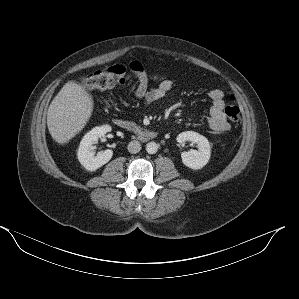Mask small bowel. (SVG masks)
<instances>
[{"mask_svg":"<svg viewBox=\"0 0 299 299\" xmlns=\"http://www.w3.org/2000/svg\"><path fill=\"white\" fill-rule=\"evenodd\" d=\"M130 67L137 78L134 96L142 104L159 101L170 91L172 83L169 80H163L156 86L150 87L147 75L138 61L132 62ZM209 98L211 100L209 127L216 133H224L230 128L223 111L224 93L220 89H213L209 93Z\"/></svg>","mask_w":299,"mask_h":299,"instance_id":"obj_1","label":"small bowel"}]
</instances>
